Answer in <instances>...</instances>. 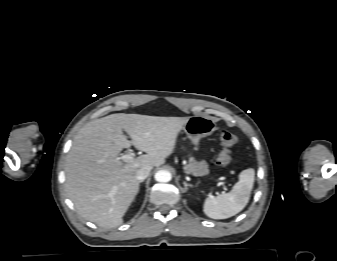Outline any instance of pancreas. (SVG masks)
<instances>
[{
	"instance_id": "obj_1",
	"label": "pancreas",
	"mask_w": 337,
	"mask_h": 261,
	"mask_svg": "<svg viewBox=\"0 0 337 261\" xmlns=\"http://www.w3.org/2000/svg\"><path fill=\"white\" fill-rule=\"evenodd\" d=\"M184 170L186 173L195 176H202L209 173L208 164L206 161L198 162L192 157L189 159V163L184 167Z\"/></svg>"
}]
</instances>
